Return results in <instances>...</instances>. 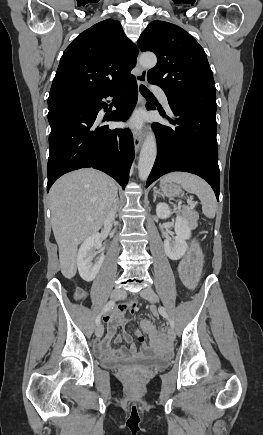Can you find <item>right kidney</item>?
<instances>
[{
    "label": "right kidney",
    "mask_w": 263,
    "mask_h": 435,
    "mask_svg": "<svg viewBox=\"0 0 263 435\" xmlns=\"http://www.w3.org/2000/svg\"><path fill=\"white\" fill-rule=\"evenodd\" d=\"M102 241L98 233L89 236L82 243L77 255V267L81 278L87 282L95 279L104 261V254L102 253L93 262L97 253L101 252Z\"/></svg>",
    "instance_id": "1"
}]
</instances>
